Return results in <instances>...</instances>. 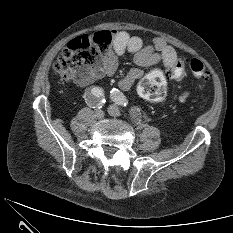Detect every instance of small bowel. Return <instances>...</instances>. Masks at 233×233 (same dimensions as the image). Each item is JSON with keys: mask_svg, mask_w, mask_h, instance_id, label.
I'll return each mask as SVG.
<instances>
[{"mask_svg": "<svg viewBox=\"0 0 233 233\" xmlns=\"http://www.w3.org/2000/svg\"><path fill=\"white\" fill-rule=\"evenodd\" d=\"M110 34L113 43L104 63L103 73L106 75H112L115 72L117 59L126 53L134 55V62L139 67L162 64L170 70L178 59L176 50L162 38H155L151 43L145 44L140 37L130 35L124 30H114ZM143 74L142 69L134 68L119 80L118 85L122 90H129L143 77ZM187 97L188 93L185 92L179 99L185 102Z\"/></svg>", "mask_w": 233, "mask_h": 233, "instance_id": "1", "label": "small bowel"}]
</instances>
